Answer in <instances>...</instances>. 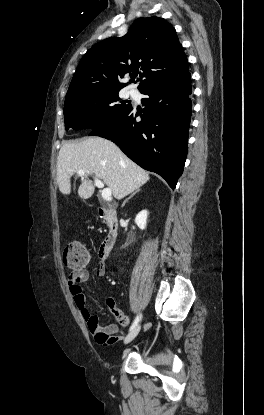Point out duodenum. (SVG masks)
<instances>
[{"mask_svg":"<svg viewBox=\"0 0 264 415\" xmlns=\"http://www.w3.org/2000/svg\"><path fill=\"white\" fill-rule=\"evenodd\" d=\"M97 213L104 220L108 229L99 249V257L104 261L109 257L116 243L119 232V221L117 211L109 205L99 207Z\"/></svg>","mask_w":264,"mask_h":415,"instance_id":"1","label":"duodenum"}]
</instances>
